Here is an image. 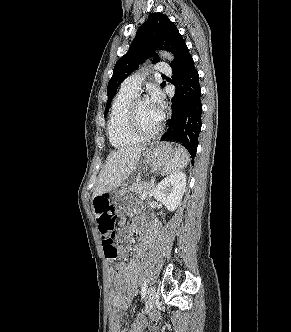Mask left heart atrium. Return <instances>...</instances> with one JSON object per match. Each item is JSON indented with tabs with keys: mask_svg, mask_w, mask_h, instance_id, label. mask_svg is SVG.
Returning <instances> with one entry per match:
<instances>
[{
	"mask_svg": "<svg viewBox=\"0 0 291 332\" xmlns=\"http://www.w3.org/2000/svg\"><path fill=\"white\" fill-rule=\"evenodd\" d=\"M149 101L154 105L156 106L160 112H161V109H160V104L162 102V97L160 95V93L158 91H154L151 95V98L149 99Z\"/></svg>",
	"mask_w": 291,
	"mask_h": 332,
	"instance_id": "1",
	"label": "left heart atrium"
}]
</instances>
